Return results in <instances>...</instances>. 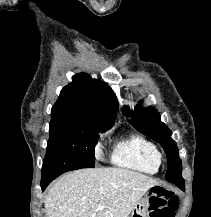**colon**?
<instances>
[{
	"mask_svg": "<svg viewBox=\"0 0 211 217\" xmlns=\"http://www.w3.org/2000/svg\"><path fill=\"white\" fill-rule=\"evenodd\" d=\"M179 207L178 196L163 187H155L150 198V217H174Z\"/></svg>",
	"mask_w": 211,
	"mask_h": 217,
	"instance_id": "1",
	"label": "colon"
}]
</instances>
